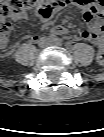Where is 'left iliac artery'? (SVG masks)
I'll use <instances>...</instances> for the list:
<instances>
[{"mask_svg": "<svg viewBox=\"0 0 104 137\" xmlns=\"http://www.w3.org/2000/svg\"><path fill=\"white\" fill-rule=\"evenodd\" d=\"M57 44H58V45H62V40H61V39H58V40H57Z\"/></svg>", "mask_w": 104, "mask_h": 137, "instance_id": "44dca946", "label": "left iliac artery"}]
</instances>
